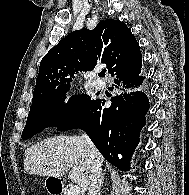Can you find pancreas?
Here are the masks:
<instances>
[{
	"mask_svg": "<svg viewBox=\"0 0 189 195\" xmlns=\"http://www.w3.org/2000/svg\"><path fill=\"white\" fill-rule=\"evenodd\" d=\"M64 195H69V192H66Z\"/></svg>",
	"mask_w": 189,
	"mask_h": 195,
	"instance_id": "cf45deb5",
	"label": "pancreas"
}]
</instances>
